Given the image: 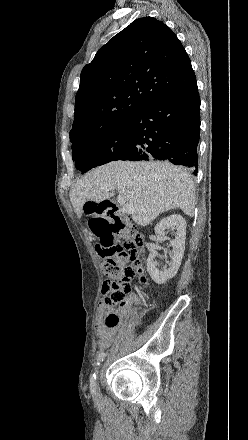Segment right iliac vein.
<instances>
[{
	"instance_id": "right-iliac-vein-1",
	"label": "right iliac vein",
	"mask_w": 248,
	"mask_h": 440,
	"mask_svg": "<svg viewBox=\"0 0 248 440\" xmlns=\"http://www.w3.org/2000/svg\"><path fill=\"white\" fill-rule=\"evenodd\" d=\"M98 373H99V370H97V374ZM91 390L94 395H96L98 393V383H97L96 379L91 383Z\"/></svg>"
}]
</instances>
